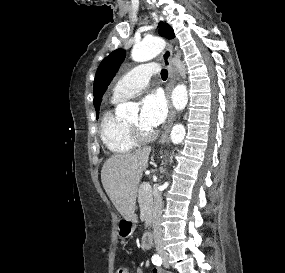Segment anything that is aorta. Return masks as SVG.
<instances>
[{"mask_svg": "<svg viewBox=\"0 0 285 273\" xmlns=\"http://www.w3.org/2000/svg\"><path fill=\"white\" fill-rule=\"evenodd\" d=\"M163 47L164 41L161 38H146L134 45L131 57L136 62H145L156 57L162 51ZM171 100L175 109H184L188 102L187 87L184 84L177 85L172 92ZM137 111L138 106L131 102L121 103L116 107V115L118 117H126ZM170 137L173 144H180L185 137L184 126L181 124L173 126Z\"/></svg>", "mask_w": 285, "mask_h": 273, "instance_id": "762f6f07", "label": "aorta"}]
</instances>
